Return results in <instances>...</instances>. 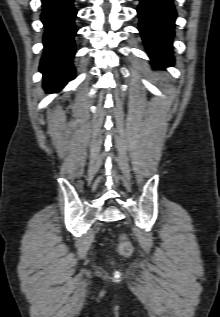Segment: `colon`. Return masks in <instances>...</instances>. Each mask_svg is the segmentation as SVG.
<instances>
[{
  "instance_id": "colon-1",
  "label": "colon",
  "mask_w": 220,
  "mask_h": 317,
  "mask_svg": "<svg viewBox=\"0 0 220 317\" xmlns=\"http://www.w3.org/2000/svg\"><path fill=\"white\" fill-rule=\"evenodd\" d=\"M119 250H120V253L123 256H129L131 251H132V248H131V245L128 242L122 241L120 243Z\"/></svg>"
}]
</instances>
